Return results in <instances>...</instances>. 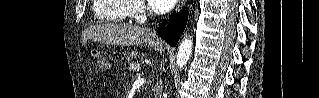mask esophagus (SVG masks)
Listing matches in <instances>:
<instances>
[{"label":"esophagus","instance_id":"esophagus-1","mask_svg":"<svg viewBox=\"0 0 319 98\" xmlns=\"http://www.w3.org/2000/svg\"><path fill=\"white\" fill-rule=\"evenodd\" d=\"M185 0H181L179 1L178 5H177V9L181 8L184 4H185Z\"/></svg>","mask_w":319,"mask_h":98}]
</instances>
